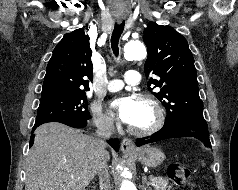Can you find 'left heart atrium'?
<instances>
[{
  "label": "left heart atrium",
  "instance_id": "obj_1",
  "mask_svg": "<svg viewBox=\"0 0 238 190\" xmlns=\"http://www.w3.org/2000/svg\"><path fill=\"white\" fill-rule=\"evenodd\" d=\"M137 106L138 100L134 96L120 97L112 103V107L115 109L118 118L128 124L133 121Z\"/></svg>",
  "mask_w": 238,
  "mask_h": 190
}]
</instances>
